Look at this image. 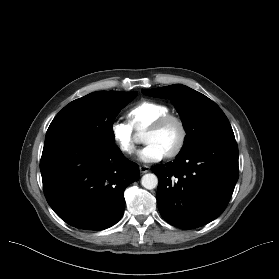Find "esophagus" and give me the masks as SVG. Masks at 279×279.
Wrapping results in <instances>:
<instances>
[{
    "label": "esophagus",
    "instance_id": "34e87169",
    "mask_svg": "<svg viewBox=\"0 0 279 279\" xmlns=\"http://www.w3.org/2000/svg\"><path fill=\"white\" fill-rule=\"evenodd\" d=\"M149 170H150L149 166H146V165L140 166V172L143 174L149 172Z\"/></svg>",
    "mask_w": 279,
    "mask_h": 279
}]
</instances>
